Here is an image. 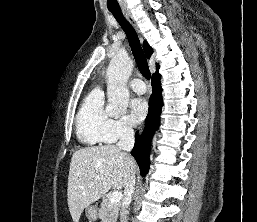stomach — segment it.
Returning <instances> with one entry per match:
<instances>
[{
	"mask_svg": "<svg viewBox=\"0 0 257 222\" xmlns=\"http://www.w3.org/2000/svg\"><path fill=\"white\" fill-rule=\"evenodd\" d=\"M85 214L90 222L95 221L98 217L97 208L95 206H88L85 208Z\"/></svg>",
	"mask_w": 257,
	"mask_h": 222,
	"instance_id": "1",
	"label": "stomach"
}]
</instances>
